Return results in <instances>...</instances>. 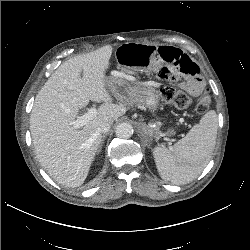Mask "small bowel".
I'll use <instances>...</instances> for the list:
<instances>
[{
  "label": "small bowel",
  "instance_id": "small-bowel-1",
  "mask_svg": "<svg viewBox=\"0 0 250 250\" xmlns=\"http://www.w3.org/2000/svg\"><path fill=\"white\" fill-rule=\"evenodd\" d=\"M115 58L117 69L126 75L179 83L193 95L204 88L197 64L179 49L124 44L117 49Z\"/></svg>",
  "mask_w": 250,
  "mask_h": 250
}]
</instances>
